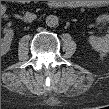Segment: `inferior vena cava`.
Here are the masks:
<instances>
[{"label": "inferior vena cava", "mask_w": 109, "mask_h": 109, "mask_svg": "<svg viewBox=\"0 0 109 109\" xmlns=\"http://www.w3.org/2000/svg\"><path fill=\"white\" fill-rule=\"evenodd\" d=\"M36 17L37 16L35 14L27 12L23 17V20L25 22H32L34 19H36Z\"/></svg>", "instance_id": "602c4592"}]
</instances>
